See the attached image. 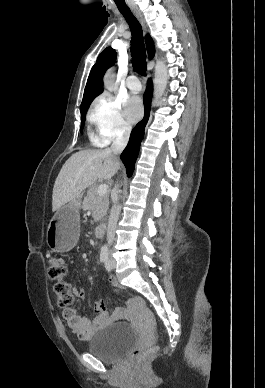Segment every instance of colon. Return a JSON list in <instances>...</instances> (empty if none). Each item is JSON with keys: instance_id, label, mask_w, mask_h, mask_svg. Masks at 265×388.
I'll return each instance as SVG.
<instances>
[{"instance_id": "1", "label": "colon", "mask_w": 265, "mask_h": 388, "mask_svg": "<svg viewBox=\"0 0 265 388\" xmlns=\"http://www.w3.org/2000/svg\"><path fill=\"white\" fill-rule=\"evenodd\" d=\"M67 269L65 263L60 258H53L48 267V277L54 282L53 290L57 296L58 305L67 308L74 301L73 287L65 280ZM147 350L135 348L131 353V359L137 360L143 356Z\"/></svg>"}]
</instances>
